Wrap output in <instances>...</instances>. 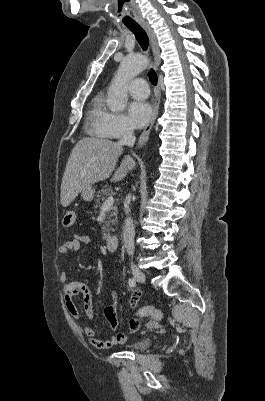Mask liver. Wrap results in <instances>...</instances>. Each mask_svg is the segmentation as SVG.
I'll return each mask as SVG.
<instances>
[{
    "instance_id": "obj_1",
    "label": "liver",
    "mask_w": 265,
    "mask_h": 401,
    "mask_svg": "<svg viewBox=\"0 0 265 401\" xmlns=\"http://www.w3.org/2000/svg\"><path fill=\"white\" fill-rule=\"evenodd\" d=\"M123 152L122 144L107 138H81L76 142L66 164L61 182V205L68 207L83 188L109 178ZM131 156H124L111 182L125 178L128 170L135 168Z\"/></svg>"
}]
</instances>
